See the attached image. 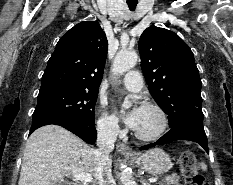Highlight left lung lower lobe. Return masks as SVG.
Instances as JSON below:
<instances>
[{
  "instance_id": "left-lung-lower-lobe-1",
  "label": "left lung lower lobe",
  "mask_w": 233,
  "mask_h": 185,
  "mask_svg": "<svg viewBox=\"0 0 233 185\" xmlns=\"http://www.w3.org/2000/svg\"><path fill=\"white\" fill-rule=\"evenodd\" d=\"M176 140H190L199 143L209 153L207 137L203 128V113L189 116L186 120L173 126L158 142L142 146L140 149H148L155 145L164 144Z\"/></svg>"
}]
</instances>
